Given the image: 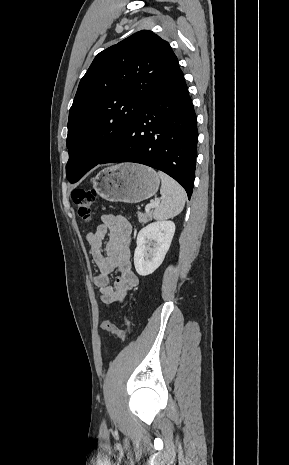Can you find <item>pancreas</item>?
I'll use <instances>...</instances> for the list:
<instances>
[{
  "mask_svg": "<svg viewBox=\"0 0 289 465\" xmlns=\"http://www.w3.org/2000/svg\"><path fill=\"white\" fill-rule=\"evenodd\" d=\"M138 220L141 223H146L151 218V212L146 211L145 213L138 212Z\"/></svg>",
  "mask_w": 289,
  "mask_h": 465,
  "instance_id": "obj_1",
  "label": "pancreas"
}]
</instances>
